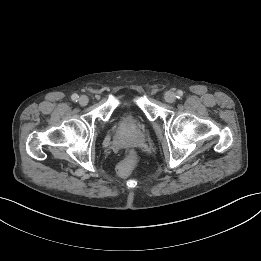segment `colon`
<instances>
[{
  "instance_id": "colon-1",
  "label": "colon",
  "mask_w": 261,
  "mask_h": 261,
  "mask_svg": "<svg viewBox=\"0 0 261 261\" xmlns=\"http://www.w3.org/2000/svg\"><path fill=\"white\" fill-rule=\"evenodd\" d=\"M135 161V152L130 151L126 158L118 165L117 173L121 177H126L130 174Z\"/></svg>"
}]
</instances>
